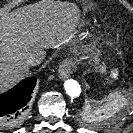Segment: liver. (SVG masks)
I'll return each mask as SVG.
<instances>
[{"instance_id": "6515ba94", "label": "liver", "mask_w": 133, "mask_h": 133, "mask_svg": "<svg viewBox=\"0 0 133 133\" xmlns=\"http://www.w3.org/2000/svg\"><path fill=\"white\" fill-rule=\"evenodd\" d=\"M78 24L74 5L39 2L12 13L0 11V92L29 74L27 59L68 42Z\"/></svg>"}]
</instances>
